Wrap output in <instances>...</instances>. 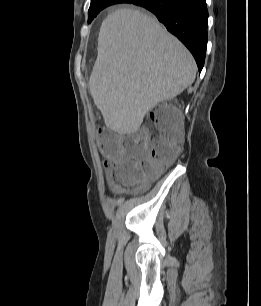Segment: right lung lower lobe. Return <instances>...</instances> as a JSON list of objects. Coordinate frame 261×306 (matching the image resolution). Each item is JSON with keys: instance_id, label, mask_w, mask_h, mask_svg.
I'll use <instances>...</instances> for the list:
<instances>
[{"instance_id": "obj_1", "label": "right lung lower lobe", "mask_w": 261, "mask_h": 306, "mask_svg": "<svg viewBox=\"0 0 261 306\" xmlns=\"http://www.w3.org/2000/svg\"><path fill=\"white\" fill-rule=\"evenodd\" d=\"M156 15L194 56L202 70L207 46L208 11L205 0H128Z\"/></svg>"}]
</instances>
